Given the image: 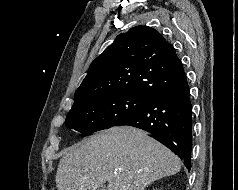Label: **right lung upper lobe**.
Masks as SVG:
<instances>
[{
    "mask_svg": "<svg viewBox=\"0 0 238 190\" xmlns=\"http://www.w3.org/2000/svg\"><path fill=\"white\" fill-rule=\"evenodd\" d=\"M185 75L174 47L155 29L121 33L90 65L74 105L98 96L134 94L155 98Z\"/></svg>",
    "mask_w": 238,
    "mask_h": 190,
    "instance_id": "right-lung-upper-lobe-1",
    "label": "right lung upper lobe"
}]
</instances>
